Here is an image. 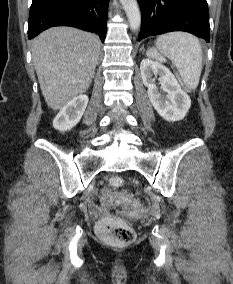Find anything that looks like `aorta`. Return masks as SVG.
Segmentation results:
<instances>
[{"mask_svg": "<svg viewBox=\"0 0 233 284\" xmlns=\"http://www.w3.org/2000/svg\"><path fill=\"white\" fill-rule=\"evenodd\" d=\"M120 2L127 15L130 28L133 31L138 30L141 25V15L138 8L137 0H120Z\"/></svg>", "mask_w": 233, "mask_h": 284, "instance_id": "1", "label": "aorta"}]
</instances>
